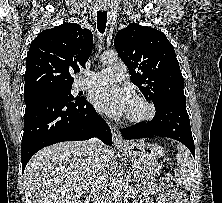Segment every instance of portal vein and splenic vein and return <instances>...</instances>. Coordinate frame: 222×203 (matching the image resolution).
Masks as SVG:
<instances>
[{
	"label": "portal vein and splenic vein",
	"mask_w": 222,
	"mask_h": 203,
	"mask_svg": "<svg viewBox=\"0 0 222 203\" xmlns=\"http://www.w3.org/2000/svg\"><path fill=\"white\" fill-rule=\"evenodd\" d=\"M132 169L134 170V169H136V167L133 165V166H132Z\"/></svg>",
	"instance_id": "18ae733b"
}]
</instances>
